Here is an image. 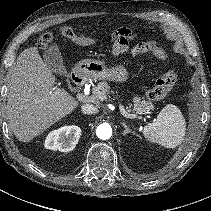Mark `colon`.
<instances>
[{"label": "colon", "mask_w": 211, "mask_h": 211, "mask_svg": "<svg viewBox=\"0 0 211 211\" xmlns=\"http://www.w3.org/2000/svg\"><path fill=\"white\" fill-rule=\"evenodd\" d=\"M61 34L78 44L84 43V38L78 35L71 27L66 26L61 28ZM132 39H133L132 32L128 30H118L116 32L114 52L120 53L128 51L130 49V41ZM51 41H52V35L49 33H45L39 37L37 45L40 49H46L50 46ZM130 51L133 54L151 52L160 59L166 58V53L161 48H159L155 43H140L133 46L130 49ZM176 80H177V73L174 70L167 71L162 77H160L155 82L153 88H151L146 93L147 99L150 101L161 100L172 89Z\"/></svg>", "instance_id": "colon-1"}]
</instances>
